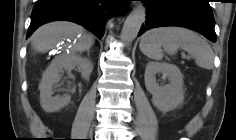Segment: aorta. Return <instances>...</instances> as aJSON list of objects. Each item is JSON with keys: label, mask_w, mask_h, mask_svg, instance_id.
<instances>
[{"label": "aorta", "mask_w": 236, "mask_h": 140, "mask_svg": "<svg viewBox=\"0 0 236 140\" xmlns=\"http://www.w3.org/2000/svg\"><path fill=\"white\" fill-rule=\"evenodd\" d=\"M146 19V8L143 4L136 6L126 18L120 39L123 43H131L138 35V32Z\"/></svg>", "instance_id": "obj_1"}]
</instances>
